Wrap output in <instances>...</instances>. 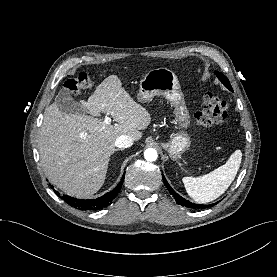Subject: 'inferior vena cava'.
Masks as SVG:
<instances>
[{"label": "inferior vena cava", "mask_w": 277, "mask_h": 277, "mask_svg": "<svg viewBox=\"0 0 277 277\" xmlns=\"http://www.w3.org/2000/svg\"><path fill=\"white\" fill-rule=\"evenodd\" d=\"M133 139L128 135H120L115 141V146L118 148H128L132 146Z\"/></svg>", "instance_id": "1"}]
</instances>
